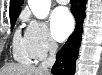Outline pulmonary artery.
<instances>
[{"label": "pulmonary artery", "mask_w": 102, "mask_h": 75, "mask_svg": "<svg viewBox=\"0 0 102 75\" xmlns=\"http://www.w3.org/2000/svg\"><path fill=\"white\" fill-rule=\"evenodd\" d=\"M59 3H65L67 2L66 0H58Z\"/></svg>", "instance_id": "pulmonary-artery-1"}]
</instances>
